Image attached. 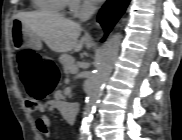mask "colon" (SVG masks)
<instances>
[{
	"instance_id": "obj_1",
	"label": "colon",
	"mask_w": 182,
	"mask_h": 140,
	"mask_svg": "<svg viewBox=\"0 0 182 140\" xmlns=\"http://www.w3.org/2000/svg\"><path fill=\"white\" fill-rule=\"evenodd\" d=\"M19 76L29 99L40 102L53 90L58 78L55 64L33 50H23L18 54Z\"/></svg>"
}]
</instances>
